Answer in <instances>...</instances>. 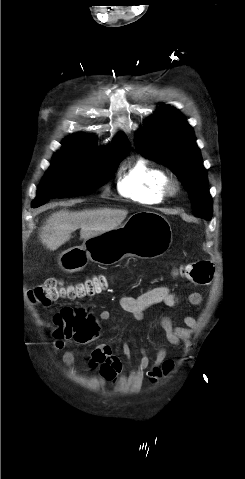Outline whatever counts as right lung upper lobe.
<instances>
[{
  "instance_id": "obj_1",
  "label": "right lung upper lobe",
  "mask_w": 245,
  "mask_h": 479,
  "mask_svg": "<svg viewBox=\"0 0 245 479\" xmlns=\"http://www.w3.org/2000/svg\"><path fill=\"white\" fill-rule=\"evenodd\" d=\"M88 141L95 143V139L92 137H87L85 135H77V136H72L66 138L64 143L66 144H74V145H80L86 149H91V150H97L101 151L97 148H93L91 145H89ZM130 149V144L125 138L123 134L119 135L116 137V139L112 143V152H118V151H129Z\"/></svg>"
}]
</instances>
